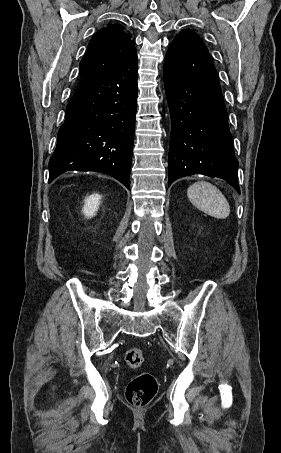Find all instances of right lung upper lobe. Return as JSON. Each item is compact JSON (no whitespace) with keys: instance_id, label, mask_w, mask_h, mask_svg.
<instances>
[{"instance_id":"cb5924a9","label":"right lung upper lobe","mask_w":281,"mask_h":453,"mask_svg":"<svg viewBox=\"0 0 281 453\" xmlns=\"http://www.w3.org/2000/svg\"><path fill=\"white\" fill-rule=\"evenodd\" d=\"M134 45L121 24H108L100 29L80 62V79L90 80L111 73L136 53Z\"/></svg>"}]
</instances>
